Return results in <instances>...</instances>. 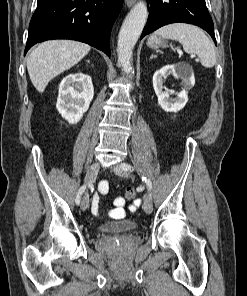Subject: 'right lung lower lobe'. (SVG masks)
I'll return each mask as SVG.
<instances>
[{"instance_id":"1","label":"right lung lower lobe","mask_w":247,"mask_h":296,"mask_svg":"<svg viewBox=\"0 0 247 296\" xmlns=\"http://www.w3.org/2000/svg\"><path fill=\"white\" fill-rule=\"evenodd\" d=\"M123 0H38L24 55L50 39L85 42L110 56V33Z\"/></svg>"}]
</instances>
